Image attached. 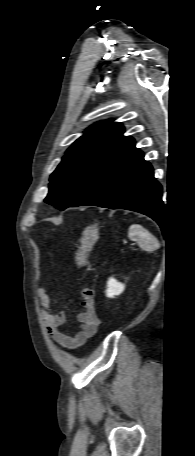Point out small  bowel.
<instances>
[{
  "mask_svg": "<svg viewBox=\"0 0 195 456\" xmlns=\"http://www.w3.org/2000/svg\"><path fill=\"white\" fill-rule=\"evenodd\" d=\"M36 294L40 300V314L44 321L45 328L62 348L73 350L83 345L97 331L99 319L96 314L94 291L83 289L81 293V304L83 311L78 315L81 323L80 329L74 334L69 335L59 329L66 322V315L63 311L55 312L50 305V298L46 290L42 287L37 288Z\"/></svg>",
  "mask_w": 195,
  "mask_h": 456,
  "instance_id": "c3829d8e",
  "label": "small bowel"
}]
</instances>
